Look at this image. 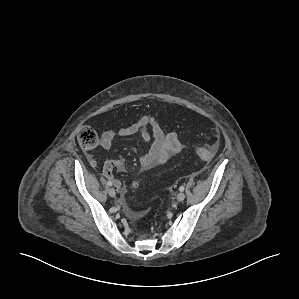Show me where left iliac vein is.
<instances>
[{
    "label": "left iliac vein",
    "mask_w": 299,
    "mask_h": 299,
    "mask_svg": "<svg viewBox=\"0 0 299 299\" xmlns=\"http://www.w3.org/2000/svg\"><path fill=\"white\" fill-rule=\"evenodd\" d=\"M185 199V194L183 193V192H179L178 194H177V200L179 201V202H181V201H183Z\"/></svg>",
    "instance_id": "1"
}]
</instances>
